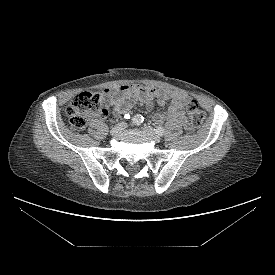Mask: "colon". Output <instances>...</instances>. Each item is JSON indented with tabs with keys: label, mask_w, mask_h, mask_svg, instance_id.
<instances>
[{
	"label": "colon",
	"mask_w": 275,
	"mask_h": 275,
	"mask_svg": "<svg viewBox=\"0 0 275 275\" xmlns=\"http://www.w3.org/2000/svg\"><path fill=\"white\" fill-rule=\"evenodd\" d=\"M105 112L104 97L100 92H82L73 97L66 108L70 125L75 130L83 129L90 116ZM187 113L192 127L196 128L202 124L205 114L196 101L190 100Z\"/></svg>",
	"instance_id": "1"
}]
</instances>
